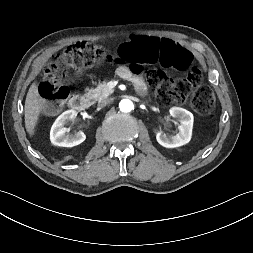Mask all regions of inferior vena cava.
<instances>
[{"label":"inferior vena cava","mask_w":253,"mask_h":253,"mask_svg":"<svg viewBox=\"0 0 253 253\" xmlns=\"http://www.w3.org/2000/svg\"><path fill=\"white\" fill-rule=\"evenodd\" d=\"M109 102H110L109 99H103V100H101V101L98 103V107H99V108H103V107H105Z\"/></svg>","instance_id":"602c4592"}]
</instances>
